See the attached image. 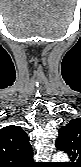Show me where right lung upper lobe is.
<instances>
[{
    "label": "right lung upper lobe",
    "instance_id": "cb5924a9",
    "mask_svg": "<svg viewBox=\"0 0 81 167\" xmlns=\"http://www.w3.org/2000/svg\"><path fill=\"white\" fill-rule=\"evenodd\" d=\"M32 147L28 135L18 126L0 130V167H32Z\"/></svg>",
    "mask_w": 81,
    "mask_h": 167
}]
</instances>
